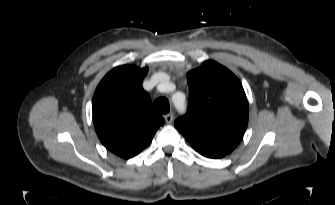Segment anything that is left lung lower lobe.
I'll list each match as a JSON object with an SVG mask.
<instances>
[{"label":"left lung lower lobe","instance_id":"0a47b994","mask_svg":"<svg viewBox=\"0 0 335 205\" xmlns=\"http://www.w3.org/2000/svg\"><path fill=\"white\" fill-rule=\"evenodd\" d=\"M200 154H202L203 156L209 157V158H221V157H223L221 155H215V154H203V153H200Z\"/></svg>","mask_w":335,"mask_h":205}]
</instances>
